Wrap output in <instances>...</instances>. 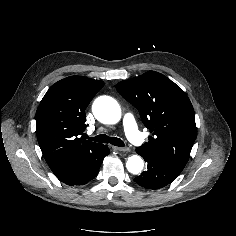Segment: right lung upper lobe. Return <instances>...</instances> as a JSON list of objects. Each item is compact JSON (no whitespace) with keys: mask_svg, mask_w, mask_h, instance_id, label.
Listing matches in <instances>:
<instances>
[{"mask_svg":"<svg viewBox=\"0 0 236 236\" xmlns=\"http://www.w3.org/2000/svg\"><path fill=\"white\" fill-rule=\"evenodd\" d=\"M104 86L82 76L64 78L52 85L36 112V134L40 149L52 172L62 173L76 155L92 152L102 144L85 140V109Z\"/></svg>","mask_w":236,"mask_h":236,"instance_id":"right-lung-upper-lobe-1","label":"right lung upper lobe"}]
</instances>
